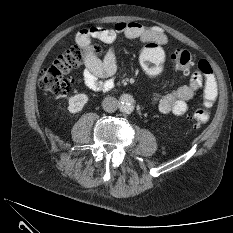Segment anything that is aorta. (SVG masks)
Listing matches in <instances>:
<instances>
[{
  "label": "aorta",
  "instance_id": "1",
  "mask_svg": "<svg viewBox=\"0 0 233 233\" xmlns=\"http://www.w3.org/2000/svg\"><path fill=\"white\" fill-rule=\"evenodd\" d=\"M120 110L125 113H131L134 110V98L130 94H123L120 97Z\"/></svg>",
  "mask_w": 233,
  "mask_h": 233
}]
</instances>
